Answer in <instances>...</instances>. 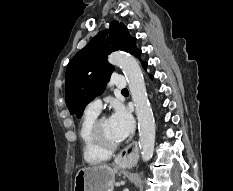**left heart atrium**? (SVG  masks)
I'll list each match as a JSON object with an SVG mask.
<instances>
[{"instance_id": "1", "label": "left heart atrium", "mask_w": 233, "mask_h": 191, "mask_svg": "<svg viewBox=\"0 0 233 191\" xmlns=\"http://www.w3.org/2000/svg\"><path fill=\"white\" fill-rule=\"evenodd\" d=\"M109 121L113 132L119 141L127 138L134 129L133 118L123 107H117Z\"/></svg>"}]
</instances>
